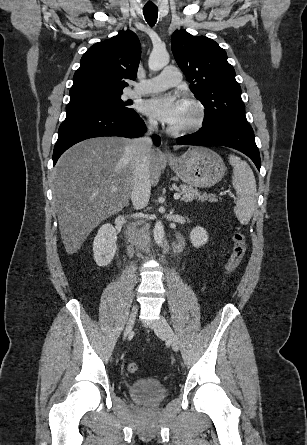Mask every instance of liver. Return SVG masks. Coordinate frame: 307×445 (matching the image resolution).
<instances>
[{"label":"liver","instance_id":"1","mask_svg":"<svg viewBox=\"0 0 307 445\" xmlns=\"http://www.w3.org/2000/svg\"><path fill=\"white\" fill-rule=\"evenodd\" d=\"M129 144L131 138L98 136L77 142L59 158L52 186L68 255L77 253L102 220L128 204L135 166ZM149 160L150 180L155 186L161 176L162 154L151 148Z\"/></svg>","mask_w":307,"mask_h":445}]
</instances>
